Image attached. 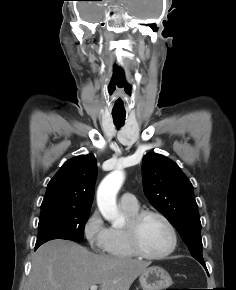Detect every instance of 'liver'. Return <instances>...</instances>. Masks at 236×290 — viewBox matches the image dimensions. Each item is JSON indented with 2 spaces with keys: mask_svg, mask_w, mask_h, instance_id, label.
Listing matches in <instances>:
<instances>
[{
  "mask_svg": "<svg viewBox=\"0 0 236 290\" xmlns=\"http://www.w3.org/2000/svg\"><path fill=\"white\" fill-rule=\"evenodd\" d=\"M150 265L128 257L98 255L67 240L40 246L32 259L27 290H129Z\"/></svg>",
  "mask_w": 236,
  "mask_h": 290,
  "instance_id": "liver-1",
  "label": "liver"
}]
</instances>
